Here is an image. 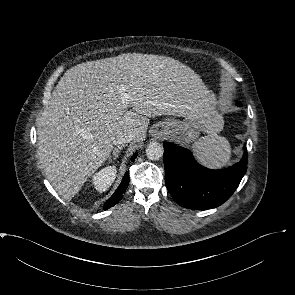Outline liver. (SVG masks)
Returning a JSON list of instances; mask_svg holds the SVG:
<instances>
[{"instance_id":"liver-1","label":"liver","mask_w":295,"mask_h":295,"mask_svg":"<svg viewBox=\"0 0 295 295\" xmlns=\"http://www.w3.org/2000/svg\"><path fill=\"white\" fill-rule=\"evenodd\" d=\"M207 93L200 76L171 57L124 53L70 68L37 123L48 180L64 199L73 198L117 136L130 131L142 142L150 117L188 116ZM205 132L216 133L212 126Z\"/></svg>"}]
</instances>
